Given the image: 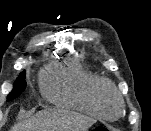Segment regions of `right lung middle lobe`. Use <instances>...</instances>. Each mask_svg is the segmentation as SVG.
<instances>
[{"label": "right lung middle lobe", "mask_w": 151, "mask_h": 131, "mask_svg": "<svg viewBox=\"0 0 151 131\" xmlns=\"http://www.w3.org/2000/svg\"><path fill=\"white\" fill-rule=\"evenodd\" d=\"M26 88V81H25V71L21 72L19 77L14 82V88L9 93L7 97V101H11L14 98L18 97L21 92H23Z\"/></svg>", "instance_id": "right-lung-middle-lobe-1"}]
</instances>
